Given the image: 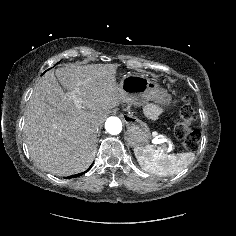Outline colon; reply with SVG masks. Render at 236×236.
Listing matches in <instances>:
<instances>
[{"mask_svg": "<svg viewBox=\"0 0 236 236\" xmlns=\"http://www.w3.org/2000/svg\"><path fill=\"white\" fill-rule=\"evenodd\" d=\"M179 115L180 121L175 126V135L183 142L187 150L195 151L199 147L201 133L193 126L196 111L189 96L182 98Z\"/></svg>", "mask_w": 236, "mask_h": 236, "instance_id": "1", "label": "colon"}]
</instances>
